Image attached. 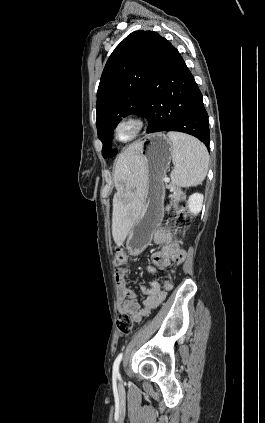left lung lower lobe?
I'll return each instance as SVG.
<instances>
[{
    "label": "left lung lower lobe",
    "instance_id": "obj_1",
    "mask_svg": "<svg viewBox=\"0 0 265 423\" xmlns=\"http://www.w3.org/2000/svg\"><path fill=\"white\" fill-rule=\"evenodd\" d=\"M139 115L148 119L147 133L184 132L209 148L208 114L202 94L178 50L165 38L142 96Z\"/></svg>",
    "mask_w": 265,
    "mask_h": 423
}]
</instances>
